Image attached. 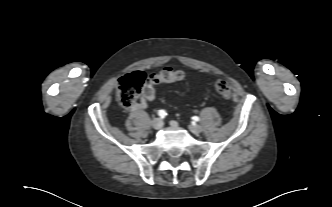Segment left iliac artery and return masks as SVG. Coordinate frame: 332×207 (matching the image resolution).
Returning a JSON list of instances; mask_svg holds the SVG:
<instances>
[{
	"instance_id": "obj_1",
	"label": "left iliac artery",
	"mask_w": 332,
	"mask_h": 207,
	"mask_svg": "<svg viewBox=\"0 0 332 207\" xmlns=\"http://www.w3.org/2000/svg\"><path fill=\"white\" fill-rule=\"evenodd\" d=\"M192 119H193L194 121H199V120H200L198 116H194Z\"/></svg>"
}]
</instances>
